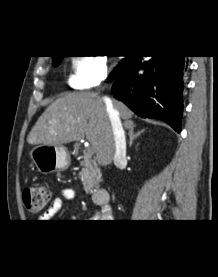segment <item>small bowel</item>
Instances as JSON below:
<instances>
[{
    "instance_id": "obj_1",
    "label": "small bowel",
    "mask_w": 218,
    "mask_h": 277,
    "mask_svg": "<svg viewBox=\"0 0 218 277\" xmlns=\"http://www.w3.org/2000/svg\"><path fill=\"white\" fill-rule=\"evenodd\" d=\"M78 194L77 191L73 188H65L61 192V196L56 197L51 202L49 208L42 214V220H48L53 217L56 213H58L62 206L63 200H75Z\"/></svg>"
}]
</instances>
